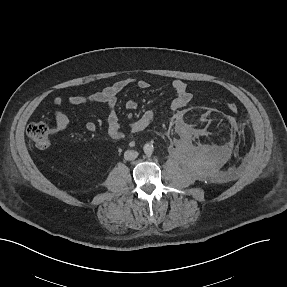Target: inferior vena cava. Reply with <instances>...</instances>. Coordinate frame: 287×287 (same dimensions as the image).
I'll list each match as a JSON object with an SVG mask.
<instances>
[{
    "instance_id": "1",
    "label": "inferior vena cava",
    "mask_w": 287,
    "mask_h": 287,
    "mask_svg": "<svg viewBox=\"0 0 287 287\" xmlns=\"http://www.w3.org/2000/svg\"><path fill=\"white\" fill-rule=\"evenodd\" d=\"M138 157V152L134 150H127L124 153V158L128 161L134 160Z\"/></svg>"
}]
</instances>
